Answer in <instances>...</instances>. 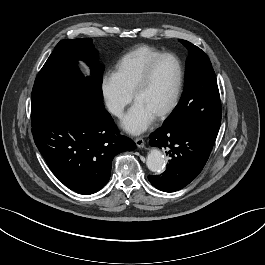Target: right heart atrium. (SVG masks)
<instances>
[{"instance_id": "1", "label": "right heart atrium", "mask_w": 265, "mask_h": 265, "mask_svg": "<svg viewBox=\"0 0 265 265\" xmlns=\"http://www.w3.org/2000/svg\"><path fill=\"white\" fill-rule=\"evenodd\" d=\"M100 91L108 112L115 117H121L131 102V96L121 88L112 74L103 76Z\"/></svg>"}]
</instances>
